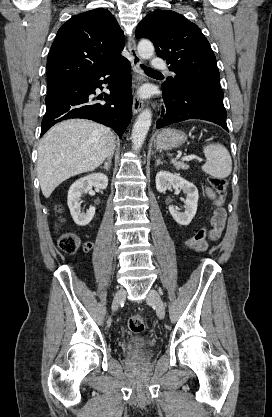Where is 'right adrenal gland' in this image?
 Segmentation results:
<instances>
[{
    "label": "right adrenal gland",
    "mask_w": 272,
    "mask_h": 417,
    "mask_svg": "<svg viewBox=\"0 0 272 417\" xmlns=\"http://www.w3.org/2000/svg\"><path fill=\"white\" fill-rule=\"evenodd\" d=\"M110 167H111V159H108V160L104 163V166H100V168H103V169H105L106 171H109Z\"/></svg>",
    "instance_id": "obj_1"
}]
</instances>
